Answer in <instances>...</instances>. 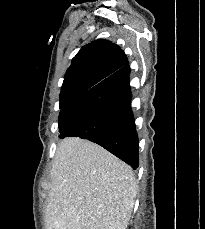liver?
Here are the masks:
<instances>
[{"mask_svg": "<svg viewBox=\"0 0 205 229\" xmlns=\"http://www.w3.org/2000/svg\"><path fill=\"white\" fill-rule=\"evenodd\" d=\"M137 185L130 166L101 146L59 142L46 206L47 229H126Z\"/></svg>", "mask_w": 205, "mask_h": 229, "instance_id": "liver-1", "label": "liver"}]
</instances>
